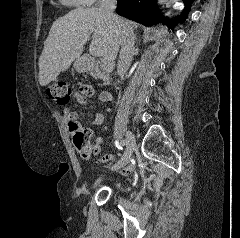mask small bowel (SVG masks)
<instances>
[{"label":"small bowel","instance_id":"small-bowel-1","mask_svg":"<svg viewBox=\"0 0 240 238\" xmlns=\"http://www.w3.org/2000/svg\"><path fill=\"white\" fill-rule=\"evenodd\" d=\"M73 95L75 96V98L77 99L78 103L82 104V105H86L88 103H90L91 99L94 96V89L92 86L87 85V84H82L78 87V89H76L73 92ZM99 100L102 102H109L112 100V96L109 93L106 92H102L99 94ZM108 112H110V109H108ZM63 116L65 121L68 123L71 121H75L80 125V121H79V116L76 112H73L70 108L68 107H64L63 108ZM106 115L103 113H97L93 119L91 124L93 126H99L103 123V121L105 120ZM101 143H102V139L100 137L95 139V143H94V147H93V157L96 159L95 165L99 166L100 162L103 159H106V162H114L115 159H118V154H103L102 158L99 157L98 154H100V150H101ZM80 150V149H79ZM122 170H119V175H133L134 171L133 170H127V169H132L133 165L132 164H122L121 165Z\"/></svg>","mask_w":240,"mask_h":238}]
</instances>
